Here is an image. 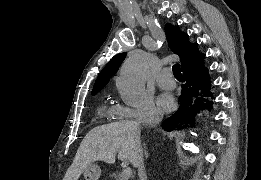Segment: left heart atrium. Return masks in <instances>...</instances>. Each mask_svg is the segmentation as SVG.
Instances as JSON below:
<instances>
[{"label": "left heart atrium", "instance_id": "39dd6f15", "mask_svg": "<svg viewBox=\"0 0 261 180\" xmlns=\"http://www.w3.org/2000/svg\"><path fill=\"white\" fill-rule=\"evenodd\" d=\"M157 105L160 110L168 111L174 105L173 97L169 93L163 92L158 96Z\"/></svg>", "mask_w": 261, "mask_h": 180}]
</instances>
